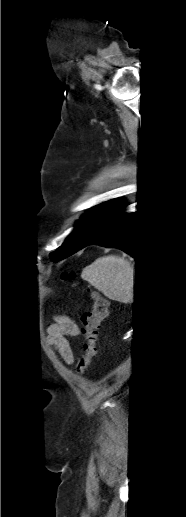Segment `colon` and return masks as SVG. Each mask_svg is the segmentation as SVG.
<instances>
[{"label":"colon","mask_w":186,"mask_h":517,"mask_svg":"<svg viewBox=\"0 0 186 517\" xmlns=\"http://www.w3.org/2000/svg\"><path fill=\"white\" fill-rule=\"evenodd\" d=\"M63 278L74 280L75 272H65ZM91 309L84 312L81 316L82 332L84 336L83 351L76 365V371L83 373L90 365L96 354V342L101 322L108 315V301L97 292L91 293Z\"/></svg>","instance_id":"obj_1"}]
</instances>
